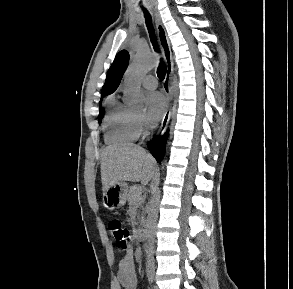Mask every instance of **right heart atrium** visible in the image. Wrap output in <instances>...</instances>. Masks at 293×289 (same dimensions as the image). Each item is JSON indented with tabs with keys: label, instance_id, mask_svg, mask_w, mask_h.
I'll list each match as a JSON object with an SVG mask.
<instances>
[{
	"label": "right heart atrium",
	"instance_id": "d8ad5b80",
	"mask_svg": "<svg viewBox=\"0 0 293 289\" xmlns=\"http://www.w3.org/2000/svg\"><path fill=\"white\" fill-rule=\"evenodd\" d=\"M137 119V123L141 128H148V123L146 122V120L141 116V115H137L136 116Z\"/></svg>",
	"mask_w": 293,
	"mask_h": 289
}]
</instances>
